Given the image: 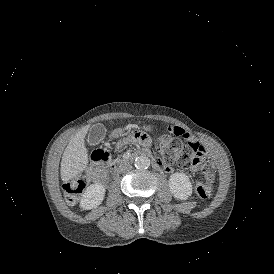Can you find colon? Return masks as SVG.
<instances>
[{
	"instance_id": "5ec220e1",
	"label": "colon",
	"mask_w": 274,
	"mask_h": 274,
	"mask_svg": "<svg viewBox=\"0 0 274 274\" xmlns=\"http://www.w3.org/2000/svg\"><path fill=\"white\" fill-rule=\"evenodd\" d=\"M146 131H134L128 136L129 144H136L137 140H146ZM157 150L161 157L167 162H171L176 167L190 168L192 161L188 160V153L193 152L189 142H183L175 135L166 134L160 137L156 143ZM202 175V180L195 185V192L199 198H209L215 187L216 171L212 161L200 163L197 169ZM88 182L87 176H82L81 180L66 183L63 187L65 201L68 205H74L76 196L82 192L84 183Z\"/></svg>"
}]
</instances>
